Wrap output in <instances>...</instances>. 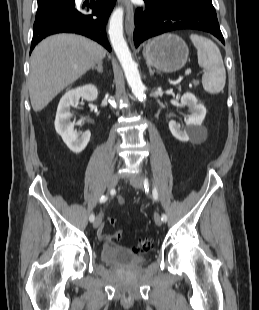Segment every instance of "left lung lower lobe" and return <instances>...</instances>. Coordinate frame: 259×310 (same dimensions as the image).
Returning a JSON list of instances; mask_svg holds the SVG:
<instances>
[{"label":"left lung lower lobe","mask_w":259,"mask_h":310,"mask_svg":"<svg viewBox=\"0 0 259 310\" xmlns=\"http://www.w3.org/2000/svg\"><path fill=\"white\" fill-rule=\"evenodd\" d=\"M145 8L135 13L134 43L139 46L144 40L178 29H197L213 34L222 43L216 11L209 1H191L180 4L158 0H144Z\"/></svg>","instance_id":"1"}]
</instances>
